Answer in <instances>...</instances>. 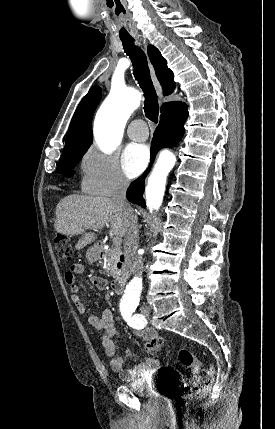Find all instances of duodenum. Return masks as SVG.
<instances>
[{
	"instance_id": "obj_1",
	"label": "duodenum",
	"mask_w": 275,
	"mask_h": 429,
	"mask_svg": "<svg viewBox=\"0 0 275 429\" xmlns=\"http://www.w3.org/2000/svg\"><path fill=\"white\" fill-rule=\"evenodd\" d=\"M97 252H98L100 257L105 256L106 250L102 244H99L97 246ZM125 282H126V278H125L124 274H120L119 276H117L114 279V281L112 282V288H113L114 292L117 294L122 293L124 286H125Z\"/></svg>"
}]
</instances>
